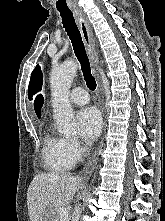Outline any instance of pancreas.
Masks as SVG:
<instances>
[{"label":"pancreas","instance_id":"cf45deb5","mask_svg":"<svg viewBox=\"0 0 165 221\" xmlns=\"http://www.w3.org/2000/svg\"><path fill=\"white\" fill-rule=\"evenodd\" d=\"M58 210H59V208H57L55 211H53L52 221H69L70 220L69 216L66 218L60 217V215L58 214Z\"/></svg>","mask_w":165,"mask_h":221}]
</instances>
